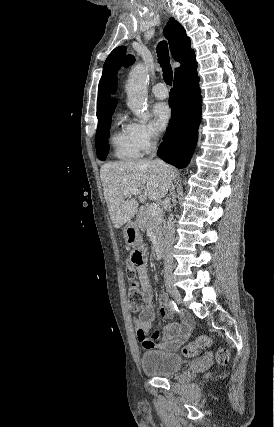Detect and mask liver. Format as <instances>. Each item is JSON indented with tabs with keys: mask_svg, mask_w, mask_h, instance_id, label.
I'll return each mask as SVG.
<instances>
[{
	"mask_svg": "<svg viewBox=\"0 0 274 427\" xmlns=\"http://www.w3.org/2000/svg\"><path fill=\"white\" fill-rule=\"evenodd\" d=\"M173 166L162 160H125L101 166L100 178L110 219L114 227H121L138 212V202L160 200L170 190L176 178ZM140 190L142 194L126 200V190Z\"/></svg>",
	"mask_w": 274,
	"mask_h": 427,
	"instance_id": "liver-1",
	"label": "liver"
}]
</instances>
